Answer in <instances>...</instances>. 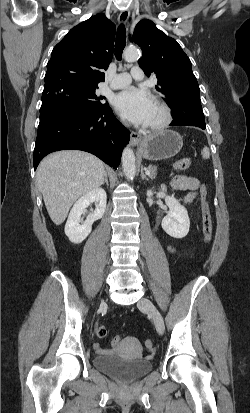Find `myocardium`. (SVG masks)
I'll return each instance as SVG.
<instances>
[{"label": "myocardium", "instance_id": "myocardium-1", "mask_svg": "<svg viewBox=\"0 0 250 413\" xmlns=\"http://www.w3.org/2000/svg\"><path fill=\"white\" fill-rule=\"evenodd\" d=\"M153 103L159 108L161 112V119L155 124L147 125L146 129L151 132H159L167 128L172 122V109L167 102L159 97H155Z\"/></svg>", "mask_w": 250, "mask_h": 413}]
</instances>
